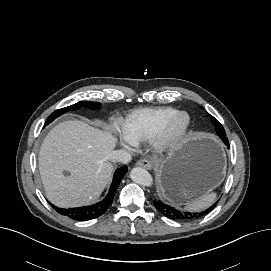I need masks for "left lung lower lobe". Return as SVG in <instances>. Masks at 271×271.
Returning a JSON list of instances; mask_svg holds the SVG:
<instances>
[{
    "label": "left lung lower lobe",
    "instance_id": "left-lung-lower-lobe-1",
    "mask_svg": "<svg viewBox=\"0 0 271 271\" xmlns=\"http://www.w3.org/2000/svg\"><path fill=\"white\" fill-rule=\"evenodd\" d=\"M222 141L227 145L229 148V142L228 139L226 138V135L221 137ZM217 203H214L212 206L209 208L205 209L204 211L192 213V212H181L178 211L177 209L163 203L160 200L154 201V206L167 218L173 219V220H194L201 218L202 216L206 215L209 213Z\"/></svg>",
    "mask_w": 271,
    "mask_h": 271
}]
</instances>
